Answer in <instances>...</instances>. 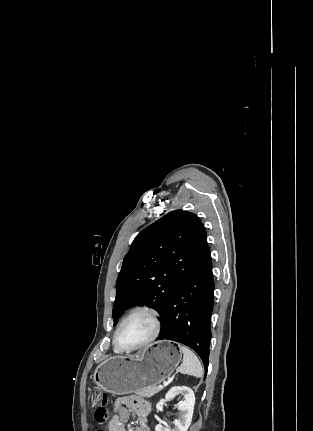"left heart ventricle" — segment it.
<instances>
[{
  "mask_svg": "<svg viewBox=\"0 0 313 431\" xmlns=\"http://www.w3.org/2000/svg\"><path fill=\"white\" fill-rule=\"evenodd\" d=\"M154 329L151 318L144 313L129 319L119 333V344L124 348L134 347L146 341Z\"/></svg>",
  "mask_w": 313,
  "mask_h": 431,
  "instance_id": "obj_1",
  "label": "left heart ventricle"
}]
</instances>
